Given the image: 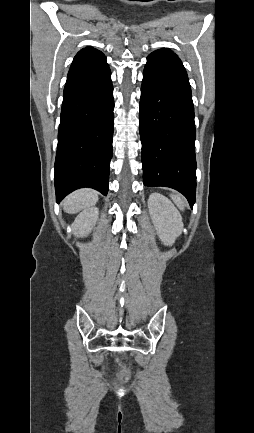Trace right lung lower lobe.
Instances as JSON below:
<instances>
[{"mask_svg":"<svg viewBox=\"0 0 254 433\" xmlns=\"http://www.w3.org/2000/svg\"><path fill=\"white\" fill-rule=\"evenodd\" d=\"M114 98L106 57L70 68L64 87L55 160L56 200L90 187L107 195Z\"/></svg>","mask_w":254,"mask_h":433,"instance_id":"obj_1","label":"right lung lower lobe"}]
</instances>
